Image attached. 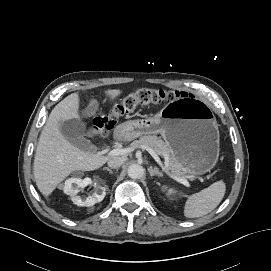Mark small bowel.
Wrapping results in <instances>:
<instances>
[{
  "label": "small bowel",
  "instance_id": "small-bowel-1",
  "mask_svg": "<svg viewBox=\"0 0 271 271\" xmlns=\"http://www.w3.org/2000/svg\"><path fill=\"white\" fill-rule=\"evenodd\" d=\"M96 109L95 102L91 103L84 111L83 116L89 117L94 114ZM61 131L63 134L68 137L70 140L80 143L83 141V137L81 135V129L79 125H71L69 122H62L60 125Z\"/></svg>",
  "mask_w": 271,
  "mask_h": 271
}]
</instances>
